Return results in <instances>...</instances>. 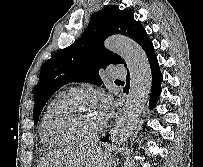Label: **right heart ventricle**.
<instances>
[{
	"label": "right heart ventricle",
	"instance_id": "right-heart-ventricle-1",
	"mask_svg": "<svg viewBox=\"0 0 203 167\" xmlns=\"http://www.w3.org/2000/svg\"><path fill=\"white\" fill-rule=\"evenodd\" d=\"M71 93H73V91H61L59 92L54 98L51 99V101L49 102V104L47 105L41 122H40V126H39V136L41 139V142L44 146L46 147H58V146H62L65 143L58 141L56 139H53L52 137H50L46 130H45V120L47 118V116L49 115V113L58 105L60 104L64 99H66Z\"/></svg>",
	"mask_w": 203,
	"mask_h": 167
}]
</instances>
